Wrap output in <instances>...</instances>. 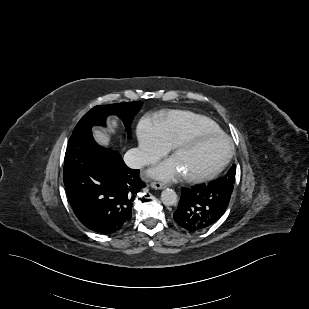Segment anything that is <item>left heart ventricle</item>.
Instances as JSON below:
<instances>
[{
    "mask_svg": "<svg viewBox=\"0 0 309 309\" xmlns=\"http://www.w3.org/2000/svg\"><path fill=\"white\" fill-rule=\"evenodd\" d=\"M223 138L206 137L175 153L185 175L203 174L216 168L227 153Z\"/></svg>",
    "mask_w": 309,
    "mask_h": 309,
    "instance_id": "b2bd125f",
    "label": "left heart ventricle"
}]
</instances>
